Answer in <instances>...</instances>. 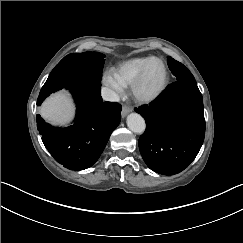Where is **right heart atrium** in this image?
I'll return each instance as SVG.
<instances>
[{"instance_id":"right-heart-atrium-1","label":"right heart atrium","mask_w":243,"mask_h":243,"mask_svg":"<svg viewBox=\"0 0 243 243\" xmlns=\"http://www.w3.org/2000/svg\"><path fill=\"white\" fill-rule=\"evenodd\" d=\"M100 83L105 91L107 100L119 102L125 98V88L119 81L113 67L103 69L100 75Z\"/></svg>"}]
</instances>
